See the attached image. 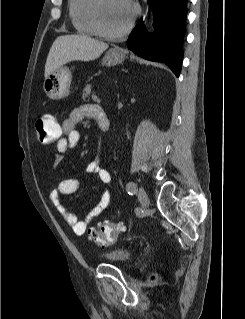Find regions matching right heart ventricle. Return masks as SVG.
Instances as JSON below:
<instances>
[{"mask_svg":"<svg viewBox=\"0 0 245 319\" xmlns=\"http://www.w3.org/2000/svg\"><path fill=\"white\" fill-rule=\"evenodd\" d=\"M94 0H69V16L75 30L83 35H98L92 19Z\"/></svg>","mask_w":245,"mask_h":319,"instance_id":"obj_1","label":"right heart ventricle"}]
</instances>
